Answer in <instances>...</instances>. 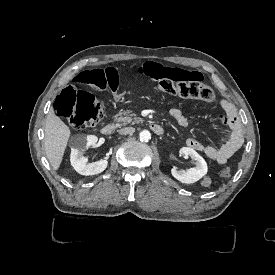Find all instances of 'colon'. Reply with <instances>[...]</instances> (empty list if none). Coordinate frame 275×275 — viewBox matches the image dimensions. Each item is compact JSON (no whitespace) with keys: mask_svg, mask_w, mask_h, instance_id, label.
<instances>
[{"mask_svg":"<svg viewBox=\"0 0 275 275\" xmlns=\"http://www.w3.org/2000/svg\"><path fill=\"white\" fill-rule=\"evenodd\" d=\"M104 80L103 72H93L92 68H77L76 77L72 80L73 86L64 88L56 97L53 104L55 112L67 119L74 129H87L98 125L103 117L104 105L89 92H107V81ZM157 91L163 97L194 98L208 103L217 101L214 90L204 84L192 85L189 82L162 79L157 84ZM220 175L229 178L230 168H223Z\"/></svg>","mask_w":275,"mask_h":275,"instance_id":"obj_1","label":"colon"}]
</instances>
